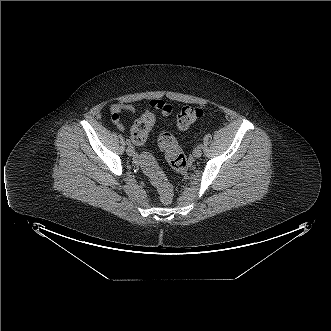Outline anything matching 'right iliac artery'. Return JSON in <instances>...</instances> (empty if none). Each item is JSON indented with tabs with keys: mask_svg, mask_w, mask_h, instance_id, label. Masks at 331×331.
I'll use <instances>...</instances> for the list:
<instances>
[{
	"mask_svg": "<svg viewBox=\"0 0 331 331\" xmlns=\"http://www.w3.org/2000/svg\"><path fill=\"white\" fill-rule=\"evenodd\" d=\"M127 145H131V141L129 139L126 140Z\"/></svg>",
	"mask_w": 331,
	"mask_h": 331,
	"instance_id": "right-iliac-artery-1",
	"label": "right iliac artery"
}]
</instances>
